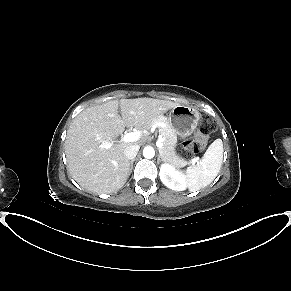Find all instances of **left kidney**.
<instances>
[{"instance_id": "left-kidney-1", "label": "left kidney", "mask_w": 291, "mask_h": 291, "mask_svg": "<svg viewBox=\"0 0 291 291\" xmlns=\"http://www.w3.org/2000/svg\"><path fill=\"white\" fill-rule=\"evenodd\" d=\"M159 176L162 183L172 190L184 191L187 188L185 176L176 170L173 165L168 163L162 164L160 166Z\"/></svg>"}]
</instances>
